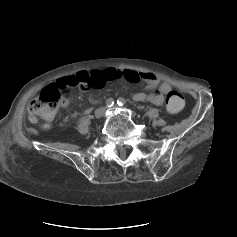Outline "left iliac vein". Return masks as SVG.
Masks as SVG:
<instances>
[{
  "instance_id": "4c4485c4",
  "label": "left iliac vein",
  "mask_w": 237,
  "mask_h": 237,
  "mask_svg": "<svg viewBox=\"0 0 237 237\" xmlns=\"http://www.w3.org/2000/svg\"><path fill=\"white\" fill-rule=\"evenodd\" d=\"M112 110H114L115 109V107H113V108H111Z\"/></svg>"
}]
</instances>
